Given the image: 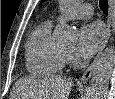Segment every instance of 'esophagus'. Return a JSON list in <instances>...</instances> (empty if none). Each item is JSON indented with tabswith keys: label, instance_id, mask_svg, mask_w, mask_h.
I'll return each instance as SVG.
<instances>
[{
	"label": "esophagus",
	"instance_id": "1",
	"mask_svg": "<svg viewBox=\"0 0 115 99\" xmlns=\"http://www.w3.org/2000/svg\"><path fill=\"white\" fill-rule=\"evenodd\" d=\"M109 3V14H108V19H107V31H106V37L105 40L100 48V51L98 52L97 56L95 57L94 61L91 63V65L86 69V71L83 73L82 77H81V82L82 83H86L89 81V79L91 78V75L93 73L95 64L97 62V59L99 58L102 50L104 49V47L106 46L108 39L110 37L111 34V28L113 25V21H114V11H115V1L114 0H108Z\"/></svg>",
	"mask_w": 115,
	"mask_h": 99
}]
</instances>
